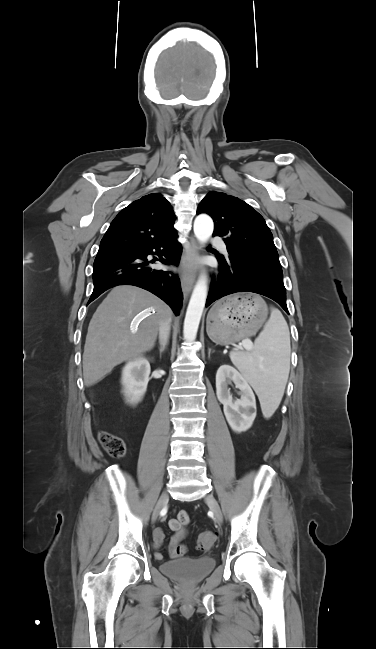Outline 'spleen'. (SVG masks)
<instances>
[{
	"instance_id": "1",
	"label": "spleen",
	"mask_w": 376,
	"mask_h": 649,
	"mask_svg": "<svg viewBox=\"0 0 376 649\" xmlns=\"http://www.w3.org/2000/svg\"><path fill=\"white\" fill-rule=\"evenodd\" d=\"M290 333L282 313L271 309L263 331L251 353L233 351L230 359L259 396L263 415L268 418L278 408L290 371Z\"/></svg>"
}]
</instances>
